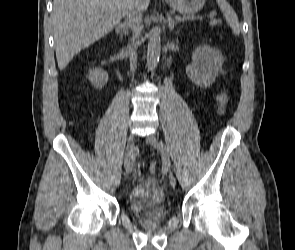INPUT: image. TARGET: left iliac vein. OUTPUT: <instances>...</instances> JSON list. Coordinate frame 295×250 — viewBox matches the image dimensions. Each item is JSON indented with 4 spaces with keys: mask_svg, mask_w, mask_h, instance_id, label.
<instances>
[{
    "mask_svg": "<svg viewBox=\"0 0 295 250\" xmlns=\"http://www.w3.org/2000/svg\"><path fill=\"white\" fill-rule=\"evenodd\" d=\"M146 140H147V142L149 143V145H151L154 149H156V150H158V151H161V149H160V145H159V142H158V140H157V138H156V136L155 135H148L147 137H146ZM161 155H162V152H161ZM162 159H163V162L164 161H168V160H170L169 159V154H168V152H166V154H165V156L163 157V155H162ZM169 183H170V185L172 186V187H175L176 186V179H175V177H174V175L172 174V173H169Z\"/></svg>",
    "mask_w": 295,
    "mask_h": 250,
    "instance_id": "1",
    "label": "left iliac vein"
}]
</instances>
